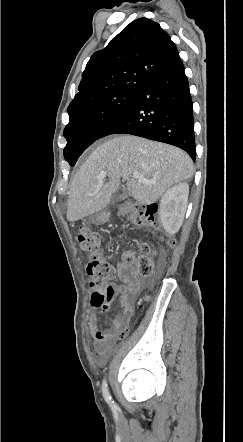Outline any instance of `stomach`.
Returning <instances> with one entry per match:
<instances>
[{"label":"stomach","instance_id":"1","mask_svg":"<svg viewBox=\"0 0 243 442\" xmlns=\"http://www.w3.org/2000/svg\"><path fill=\"white\" fill-rule=\"evenodd\" d=\"M109 217L110 213L107 212L106 210H103L91 215L90 220L92 223L95 224H103L109 220Z\"/></svg>","mask_w":243,"mask_h":442}]
</instances>
